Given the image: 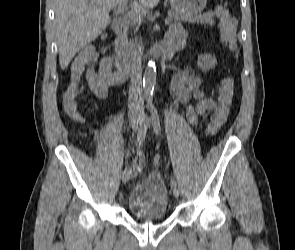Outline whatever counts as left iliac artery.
<instances>
[{"instance_id": "left-iliac-artery-1", "label": "left iliac artery", "mask_w": 295, "mask_h": 250, "mask_svg": "<svg viewBox=\"0 0 295 250\" xmlns=\"http://www.w3.org/2000/svg\"><path fill=\"white\" fill-rule=\"evenodd\" d=\"M151 123L154 129V132L156 133V135H160L161 134V125H160V118H159V114L158 111L156 109V107L151 106ZM170 186L174 187L176 186V181L174 179V177L171 176L170 178Z\"/></svg>"}]
</instances>
